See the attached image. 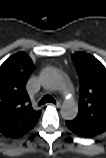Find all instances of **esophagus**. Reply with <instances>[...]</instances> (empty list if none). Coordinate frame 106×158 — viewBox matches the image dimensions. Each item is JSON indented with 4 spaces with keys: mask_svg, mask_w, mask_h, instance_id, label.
Segmentation results:
<instances>
[{
    "mask_svg": "<svg viewBox=\"0 0 106 158\" xmlns=\"http://www.w3.org/2000/svg\"><path fill=\"white\" fill-rule=\"evenodd\" d=\"M48 104H49V105H52V106H55V107H60V106H61V104H62V102H61V101H57L55 104H54V103L49 102Z\"/></svg>",
    "mask_w": 106,
    "mask_h": 158,
    "instance_id": "obj_1",
    "label": "esophagus"
}]
</instances>
